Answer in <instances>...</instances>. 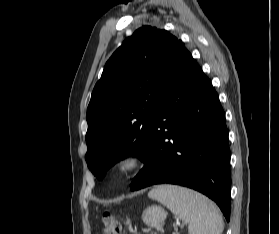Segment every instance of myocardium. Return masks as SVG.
<instances>
[{"label": "myocardium", "mask_w": 279, "mask_h": 234, "mask_svg": "<svg viewBox=\"0 0 279 234\" xmlns=\"http://www.w3.org/2000/svg\"><path fill=\"white\" fill-rule=\"evenodd\" d=\"M143 165V155L137 151H129L123 153L114 161L111 167V175L116 180H126L139 171Z\"/></svg>", "instance_id": "obj_1"}]
</instances>
